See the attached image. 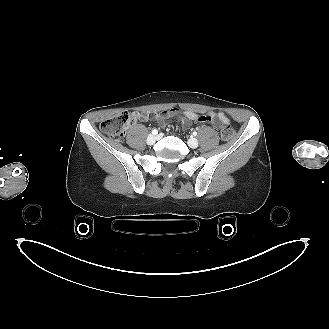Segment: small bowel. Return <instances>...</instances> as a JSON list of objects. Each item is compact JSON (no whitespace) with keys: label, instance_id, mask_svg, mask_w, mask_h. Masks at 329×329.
I'll return each mask as SVG.
<instances>
[{"label":"small bowel","instance_id":"1","mask_svg":"<svg viewBox=\"0 0 329 329\" xmlns=\"http://www.w3.org/2000/svg\"><path fill=\"white\" fill-rule=\"evenodd\" d=\"M136 119L147 120L148 116L146 114L134 113ZM155 117L162 120H168L171 118H177L179 123L184 128H189L195 121L201 123H211L213 126L218 127L220 124H229V119L222 112H208L202 115H198L192 111H183L179 108H171L156 112Z\"/></svg>","mask_w":329,"mask_h":329}]
</instances>
